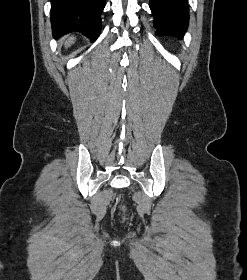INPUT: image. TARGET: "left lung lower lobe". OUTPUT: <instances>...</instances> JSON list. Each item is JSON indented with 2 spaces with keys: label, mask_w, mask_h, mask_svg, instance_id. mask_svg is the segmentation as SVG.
Wrapping results in <instances>:
<instances>
[{
  "label": "left lung lower lobe",
  "mask_w": 247,
  "mask_h": 280,
  "mask_svg": "<svg viewBox=\"0 0 247 280\" xmlns=\"http://www.w3.org/2000/svg\"><path fill=\"white\" fill-rule=\"evenodd\" d=\"M157 35L183 38L189 24L187 0H150Z\"/></svg>",
  "instance_id": "left-lung-lower-lobe-1"
}]
</instances>
